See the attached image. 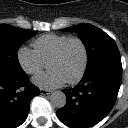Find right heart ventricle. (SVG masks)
Returning a JSON list of instances; mask_svg holds the SVG:
<instances>
[{
  "label": "right heart ventricle",
  "mask_w": 128,
  "mask_h": 128,
  "mask_svg": "<svg viewBox=\"0 0 128 128\" xmlns=\"http://www.w3.org/2000/svg\"><path fill=\"white\" fill-rule=\"evenodd\" d=\"M68 38L70 36L64 34H46L37 38L33 47L43 62H47Z\"/></svg>",
  "instance_id": "obj_1"
}]
</instances>
